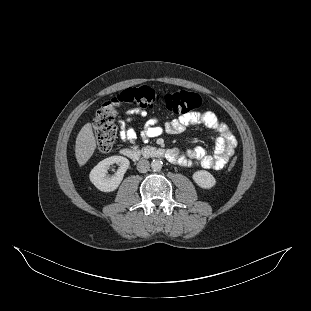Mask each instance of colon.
Listing matches in <instances>:
<instances>
[{
	"label": "colon",
	"mask_w": 311,
	"mask_h": 311,
	"mask_svg": "<svg viewBox=\"0 0 311 311\" xmlns=\"http://www.w3.org/2000/svg\"><path fill=\"white\" fill-rule=\"evenodd\" d=\"M124 104L138 106L143 109H164L172 114H186L201 105V98L194 92L185 90L158 93L148 86L128 88L115 98L107 101L97 111L92 125L100 153L111 151L117 134L115 117ZM237 164V158L231 159L228 170Z\"/></svg>",
	"instance_id": "obj_1"
}]
</instances>
